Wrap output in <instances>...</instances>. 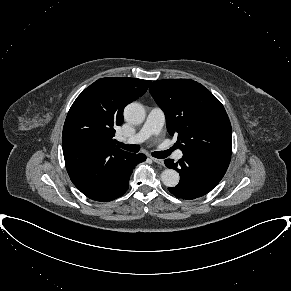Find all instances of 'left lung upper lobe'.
<instances>
[{
  "label": "left lung upper lobe",
  "mask_w": 291,
  "mask_h": 291,
  "mask_svg": "<svg viewBox=\"0 0 291 291\" xmlns=\"http://www.w3.org/2000/svg\"><path fill=\"white\" fill-rule=\"evenodd\" d=\"M149 91L164 111L167 130L178 136L183 154L231 156L232 130L221 102L189 79L154 81Z\"/></svg>",
  "instance_id": "1"
}]
</instances>
